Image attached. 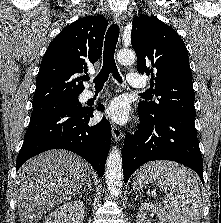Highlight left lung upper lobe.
I'll return each mask as SVG.
<instances>
[{
    "label": "left lung upper lobe",
    "instance_id": "1",
    "mask_svg": "<svg viewBox=\"0 0 221 223\" xmlns=\"http://www.w3.org/2000/svg\"><path fill=\"white\" fill-rule=\"evenodd\" d=\"M131 43L138 72L151 75L152 93L159 97L141 101L138 109L152 118L172 112L195 116L188 53L176 31L155 16L141 15L133 20Z\"/></svg>",
    "mask_w": 221,
    "mask_h": 223
}]
</instances>
